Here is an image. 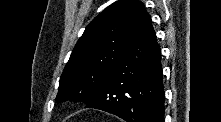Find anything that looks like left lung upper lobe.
<instances>
[{"label":"left lung upper lobe","instance_id":"1","mask_svg":"<svg viewBox=\"0 0 221 122\" xmlns=\"http://www.w3.org/2000/svg\"><path fill=\"white\" fill-rule=\"evenodd\" d=\"M141 2L119 0L102 11L85 29L60 77L57 102H90L121 56Z\"/></svg>","mask_w":221,"mask_h":122}]
</instances>
